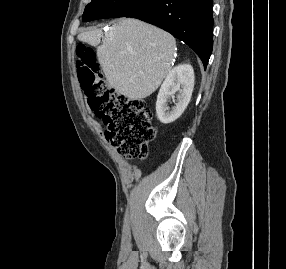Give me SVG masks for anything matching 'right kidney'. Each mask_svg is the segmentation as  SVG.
I'll return each mask as SVG.
<instances>
[{
    "instance_id": "ca27d5eb",
    "label": "right kidney",
    "mask_w": 286,
    "mask_h": 269,
    "mask_svg": "<svg viewBox=\"0 0 286 269\" xmlns=\"http://www.w3.org/2000/svg\"><path fill=\"white\" fill-rule=\"evenodd\" d=\"M194 88V70L189 64L178 65L165 78L159 90L156 102L157 117L163 124H169L178 119L190 102ZM176 92L177 103L171 112H167V101Z\"/></svg>"
}]
</instances>
